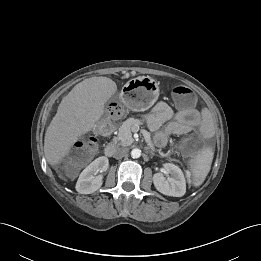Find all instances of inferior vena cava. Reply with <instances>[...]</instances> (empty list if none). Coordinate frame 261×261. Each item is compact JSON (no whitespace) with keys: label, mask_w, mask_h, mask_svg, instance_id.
Masks as SVG:
<instances>
[{"label":"inferior vena cava","mask_w":261,"mask_h":261,"mask_svg":"<svg viewBox=\"0 0 261 261\" xmlns=\"http://www.w3.org/2000/svg\"><path fill=\"white\" fill-rule=\"evenodd\" d=\"M129 149L127 147H116L113 152V157L116 159L123 158L128 155Z\"/></svg>","instance_id":"602c4592"}]
</instances>
